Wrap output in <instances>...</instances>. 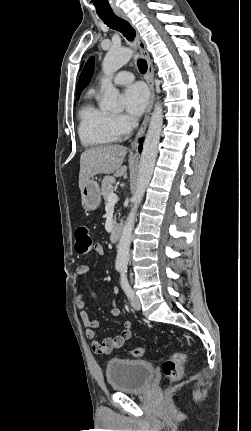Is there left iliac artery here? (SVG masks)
<instances>
[{
	"label": "left iliac artery",
	"mask_w": 251,
	"mask_h": 431,
	"mask_svg": "<svg viewBox=\"0 0 251 431\" xmlns=\"http://www.w3.org/2000/svg\"><path fill=\"white\" fill-rule=\"evenodd\" d=\"M120 271H121V281H120L121 287L124 290V292L126 293V295L128 297H131V295H132V289H131V287H130V285L128 283L127 277H126L127 270H126L125 267H123V268L120 269Z\"/></svg>",
	"instance_id": "left-iliac-artery-1"
}]
</instances>
